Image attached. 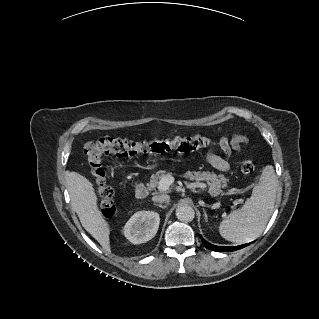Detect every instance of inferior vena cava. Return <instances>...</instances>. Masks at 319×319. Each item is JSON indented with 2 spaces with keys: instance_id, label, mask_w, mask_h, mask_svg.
Returning a JSON list of instances; mask_svg holds the SVG:
<instances>
[{
  "instance_id": "obj_1",
  "label": "inferior vena cava",
  "mask_w": 319,
  "mask_h": 319,
  "mask_svg": "<svg viewBox=\"0 0 319 319\" xmlns=\"http://www.w3.org/2000/svg\"><path fill=\"white\" fill-rule=\"evenodd\" d=\"M152 200L157 203H163V202L168 203L170 200V197L167 194H161V195L153 196Z\"/></svg>"
}]
</instances>
